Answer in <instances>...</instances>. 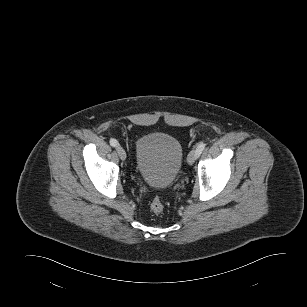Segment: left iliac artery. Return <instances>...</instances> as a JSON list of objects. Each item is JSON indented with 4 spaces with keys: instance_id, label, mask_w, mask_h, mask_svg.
Here are the masks:
<instances>
[{
    "instance_id": "obj_1",
    "label": "left iliac artery",
    "mask_w": 307,
    "mask_h": 307,
    "mask_svg": "<svg viewBox=\"0 0 307 307\" xmlns=\"http://www.w3.org/2000/svg\"><path fill=\"white\" fill-rule=\"evenodd\" d=\"M205 146L206 144L205 143H200L198 144L197 148H196V152H197V155L199 156L202 151L205 149Z\"/></svg>"
}]
</instances>
